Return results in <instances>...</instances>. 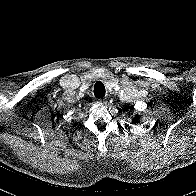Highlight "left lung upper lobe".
<instances>
[{"label":"left lung upper lobe","instance_id":"obj_1","mask_svg":"<svg viewBox=\"0 0 196 196\" xmlns=\"http://www.w3.org/2000/svg\"><path fill=\"white\" fill-rule=\"evenodd\" d=\"M138 118H139L138 116L135 117L133 121L138 122Z\"/></svg>","mask_w":196,"mask_h":196}]
</instances>
